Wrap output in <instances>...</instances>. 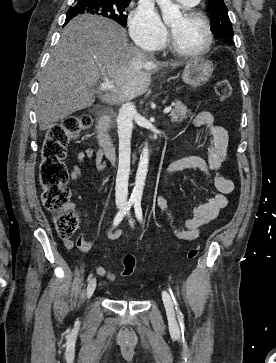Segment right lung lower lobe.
<instances>
[{"label":"right lung lower lobe","instance_id":"obj_1","mask_svg":"<svg viewBox=\"0 0 276 363\" xmlns=\"http://www.w3.org/2000/svg\"><path fill=\"white\" fill-rule=\"evenodd\" d=\"M73 17H67L66 16V20H65V24H67Z\"/></svg>","mask_w":276,"mask_h":363}]
</instances>
